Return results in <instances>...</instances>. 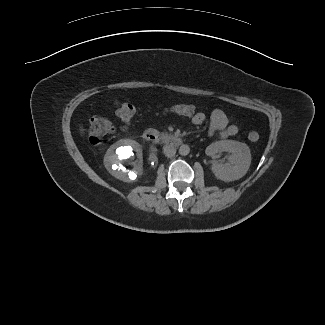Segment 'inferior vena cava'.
Instances as JSON below:
<instances>
[{"mask_svg": "<svg viewBox=\"0 0 325 325\" xmlns=\"http://www.w3.org/2000/svg\"><path fill=\"white\" fill-rule=\"evenodd\" d=\"M163 151H164L165 156H167L168 158L173 157L176 153V149L171 146H165L163 148Z\"/></svg>", "mask_w": 325, "mask_h": 325, "instance_id": "602c4592", "label": "inferior vena cava"}]
</instances>
